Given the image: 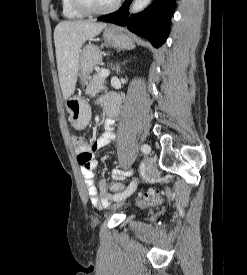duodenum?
<instances>
[{
    "label": "duodenum",
    "instance_id": "duodenum-1",
    "mask_svg": "<svg viewBox=\"0 0 247 275\" xmlns=\"http://www.w3.org/2000/svg\"><path fill=\"white\" fill-rule=\"evenodd\" d=\"M116 112V108L115 107H110L109 108V114H114Z\"/></svg>",
    "mask_w": 247,
    "mask_h": 275
}]
</instances>
